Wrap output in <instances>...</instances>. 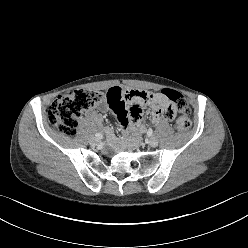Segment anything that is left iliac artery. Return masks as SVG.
<instances>
[{"label":"left iliac artery","mask_w":248,"mask_h":248,"mask_svg":"<svg viewBox=\"0 0 248 248\" xmlns=\"http://www.w3.org/2000/svg\"><path fill=\"white\" fill-rule=\"evenodd\" d=\"M152 133H153V131H152V130H150V131L148 132V135H149V136H151V135H152Z\"/></svg>","instance_id":"44dca946"}]
</instances>
